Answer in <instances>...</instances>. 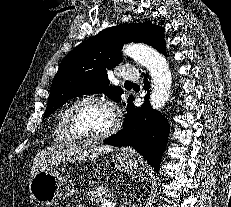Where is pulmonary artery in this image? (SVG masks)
I'll list each match as a JSON object with an SVG mask.
<instances>
[{
    "instance_id": "obj_1",
    "label": "pulmonary artery",
    "mask_w": 231,
    "mask_h": 207,
    "mask_svg": "<svg viewBox=\"0 0 231 207\" xmlns=\"http://www.w3.org/2000/svg\"><path fill=\"white\" fill-rule=\"evenodd\" d=\"M118 78L123 80L136 81L139 78V73L131 66H123L120 68Z\"/></svg>"
}]
</instances>
